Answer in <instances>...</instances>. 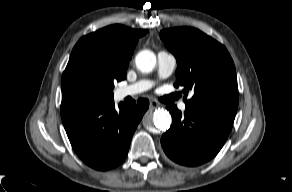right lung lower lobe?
<instances>
[{
  "label": "right lung lower lobe",
  "instance_id": "1",
  "mask_svg": "<svg viewBox=\"0 0 292 192\" xmlns=\"http://www.w3.org/2000/svg\"><path fill=\"white\" fill-rule=\"evenodd\" d=\"M140 99L133 106L114 101L106 104H61V117L70 143L79 158L96 170H109L126 158L132 136L148 109Z\"/></svg>",
  "mask_w": 292,
  "mask_h": 192
}]
</instances>
